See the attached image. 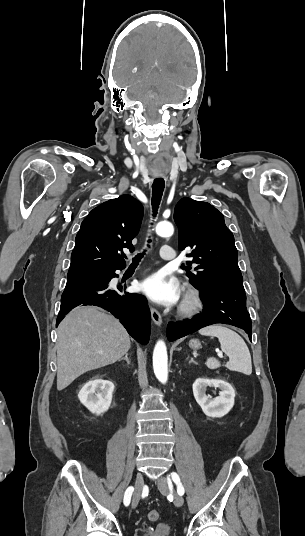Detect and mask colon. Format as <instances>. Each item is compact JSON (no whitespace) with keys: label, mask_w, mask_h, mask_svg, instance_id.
Wrapping results in <instances>:
<instances>
[{"label":"colon","mask_w":305,"mask_h":536,"mask_svg":"<svg viewBox=\"0 0 305 536\" xmlns=\"http://www.w3.org/2000/svg\"><path fill=\"white\" fill-rule=\"evenodd\" d=\"M159 517H160V514H159V512L156 511V510H152V511H150V512L148 513V519H149L150 521H157V520L159 519Z\"/></svg>","instance_id":"5ec220e1"}]
</instances>
